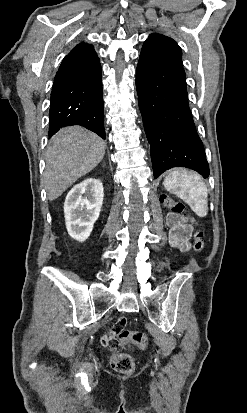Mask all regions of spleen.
Listing matches in <instances>:
<instances>
[{"label":"spleen","mask_w":247,"mask_h":413,"mask_svg":"<svg viewBox=\"0 0 247 413\" xmlns=\"http://www.w3.org/2000/svg\"><path fill=\"white\" fill-rule=\"evenodd\" d=\"M163 184L167 190L177 194L179 198L187 202L198 217H206L208 190L198 172L186 170V168H176L164 178Z\"/></svg>","instance_id":"spleen-1"}]
</instances>
